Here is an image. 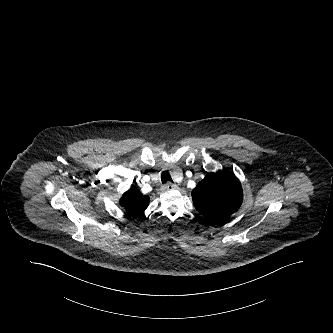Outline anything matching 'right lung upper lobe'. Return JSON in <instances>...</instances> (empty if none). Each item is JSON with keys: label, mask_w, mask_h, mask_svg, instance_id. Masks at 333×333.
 <instances>
[{"label": "right lung upper lobe", "mask_w": 333, "mask_h": 333, "mask_svg": "<svg viewBox=\"0 0 333 333\" xmlns=\"http://www.w3.org/2000/svg\"><path fill=\"white\" fill-rule=\"evenodd\" d=\"M149 200V196L143 195L137 188L131 187L129 191L123 194L120 204L129 216L136 217L146 210Z\"/></svg>", "instance_id": "cb5924a9"}]
</instances>
